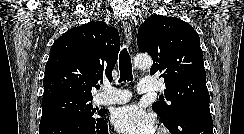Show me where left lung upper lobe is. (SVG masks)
I'll list each match as a JSON object with an SVG mask.
<instances>
[{
  "label": "left lung upper lobe",
  "instance_id": "left-lung-upper-lobe-1",
  "mask_svg": "<svg viewBox=\"0 0 244 134\" xmlns=\"http://www.w3.org/2000/svg\"><path fill=\"white\" fill-rule=\"evenodd\" d=\"M138 48L153 59L150 74L161 73L166 85L163 101L152 105L163 122H169L181 110L192 109L210 114V96L206 86L200 38L188 23L153 15L141 24Z\"/></svg>",
  "mask_w": 244,
  "mask_h": 134
}]
</instances>
